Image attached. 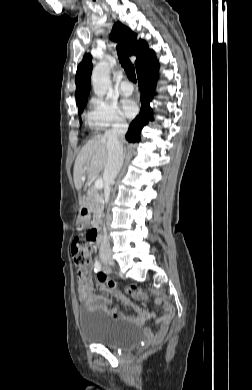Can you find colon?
Instances as JSON below:
<instances>
[{
    "label": "colon",
    "mask_w": 252,
    "mask_h": 390,
    "mask_svg": "<svg viewBox=\"0 0 252 390\" xmlns=\"http://www.w3.org/2000/svg\"><path fill=\"white\" fill-rule=\"evenodd\" d=\"M94 233L89 229L86 233V238L75 237L72 241L71 252L73 263L78 272H82L91 261L92 257V238ZM132 291L136 290V287L131 288Z\"/></svg>",
    "instance_id": "1"
}]
</instances>
